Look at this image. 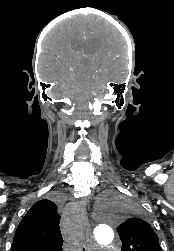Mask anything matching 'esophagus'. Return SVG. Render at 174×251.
Instances as JSON below:
<instances>
[{
  "mask_svg": "<svg viewBox=\"0 0 174 251\" xmlns=\"http://www.w3.org/2000/svg\"><path fill=\"white\" fill-rule=\"evenodd\" d=\"M83 217H82V229L85 233L86 239L87 241L91 240L92 234H91V228H90V224L88 221V217H87V213L85 208L83 209V213H82Z\"/></svg>",
  "mask_w": 174,
  "mask_h": 251,
  "instance_id": "1",
  "label": "esophagus"
}]
</instances>
